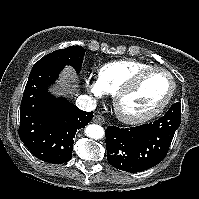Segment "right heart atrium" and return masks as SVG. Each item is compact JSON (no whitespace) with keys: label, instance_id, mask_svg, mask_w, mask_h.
<instances>
[{"label":"right heart atrium","instance_id":"1","mask_svg":"<svg viewBox=\"0 0 199 199\" xmlns=\"http://www.w3.org/2000/svg\"><path fill=\"white\" fill-rule=\"evenodd\" d=\"M85 86L89 94L95 99H100L106 94L98 80L87 81Z\"/></svg>","mask_w":199,"mask_h":199}]
</instances>
